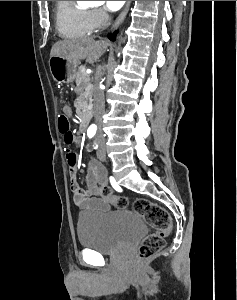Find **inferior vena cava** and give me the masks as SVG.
Wrapping results in <instances>:
<instances>
[{
  "label": "inferior vena cava",
  "mask_w": 237,
  "mask_h": 300,
  "mask_svg": "<svg viewBox=\"0 0 237 300\" xmlns=\"http://www.w3.org/2000/svg\"><path fill=\"white\" fill-rule=\"evenodd\" d=\"M111 17L109 15H104V21L102 23V29H106V27H109L111 25ZM104 75V71L102 67H98V75H97V83H95L94 87V117L96 121V125L99 129L98 133V139H103L100 131V127L102 125V117L105 113V97L103 93V89H101V83H102V77Z\"/></svg>",
  "instance_id": "1"
}]
</instances>
